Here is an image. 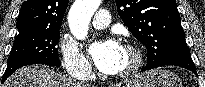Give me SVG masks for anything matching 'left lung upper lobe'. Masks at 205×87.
I'll return each instance as SVG.
<instances>
[{
    "label": "left lung upper lobe",
    "mask_w": 205,
    "mask_h": 87,
    "mask_svg": "<svg viewBox=\"0 0 205 87\" xmlns=\"http://www.w3.org/2000/svg\"><path fill=\"white\" fill-rule=\"evenodd\" d=\"M115 1L120 18L147 48V67H159L175 52L188 49L175 0Z\"/></svg>",
    "instance_id": "left-lung-upper-lobe-1"
}]
</instances>
